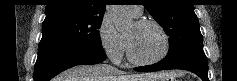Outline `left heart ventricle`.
Returning a JSON list of instances; mask_svg holds the SVG:
<instances>
[{
  "instance_id": "1",
  "label": "left heart ventricle",
  "mask_w": 237,
  "mask_h": 81,
  "mask_svg": "<svg viewBox=\"0 0 237 81\" xmlns=\"http://www.w3.org/2000/svg\"><path fill=\"white\" fill-rule=\"evenodd\" d=\"M134 54L142 60L158 57L165 46L164 39L159 30L154 26L140 27L134 23L127 31Z\"/></svg>"
}]
</instances>
